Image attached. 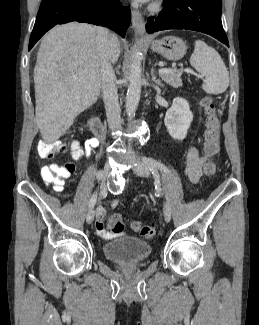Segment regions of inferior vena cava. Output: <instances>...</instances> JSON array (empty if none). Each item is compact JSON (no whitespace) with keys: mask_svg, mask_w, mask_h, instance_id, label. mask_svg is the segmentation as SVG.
Returning a JSON list of instances; mask_svg holds the SVG:
<instances>
[{"mask_svg":"<svg viewBox=\"0 0 259 325\" xmlns=\"http://www.w3.org/2000/svg\"><path fill=\"white\" fill-rule=\"evenodd\" d=\"M98 47L96 68L101 77V90L106 109L108 125L111 130L121 127V109L118 103L116 76L110 62V34L108 29L97 27Z\"/></svg>","mask_w":259,"mask_h":325,"instance_id":"602c4592","label":"inferior vena cava"}]
</instances>
